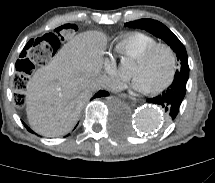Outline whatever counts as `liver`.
I'll list each match as a JSON object with an SVG mask.
<instances>
[{"label":"liver","mask_w":215,"mask_h":183,"mask_svg":"<svg viewBox=\"0 0 215 183\" xmlns=\"http://www.w3.org/2000/svg\"><path fill=\"white\" fill-rule=\"evenodd\" d=\"M105 45L100 32L80 33L34 73L27 83L26 112L36 133L56 137L71 131L96 91L91 84L101 77Z\"/></svg>","instance_id":"6515ba94"}]
</instances>
